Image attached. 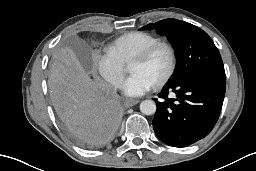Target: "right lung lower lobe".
I'll use <instances>...</instances> for the list:
<instances>
[{
  "label": "right lung lower lobe",
  "mask_w": 256,
  "mask_h": 171,
  "mask_svg": "<svg viewBox=\"0 0 256 171\" xmlns=\"http://www.w3.org/2000/svg\"><path fill=\"white\" fill-rule=\"evenodd\" d=\"M54 105L68 134L82 145L107 144L120 125L121 108L116 93L102 83Z\"/></svg>",
  "instance_id": "1"
}]
</instances>
